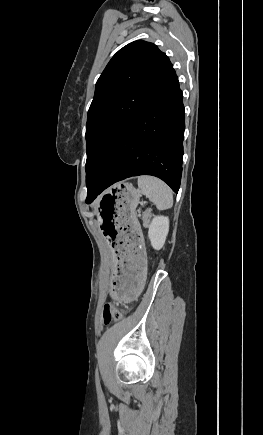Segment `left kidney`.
<instances>
[{"mask_svg": "<svg viewBox=\"0 0 263 435\" xmlns=\"http://www.w3.org/2000/svg\"><path fill=\"white\" fill-rule=\"evenodd\" d=\"M168 232H169L168 217L154 216V218L152 219L149 225V230H148V237L154 249L160 250L164 246Z\"/></svg>", "mask_w": 263, "mask_h": 435, "instance_id": "1", "label": "left kidney"}]
</instances>
